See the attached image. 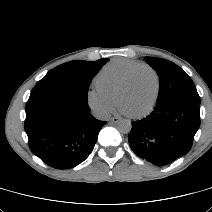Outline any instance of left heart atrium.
I'll list each match as a JSON object with an SVG mask.
<instances>
[{
    "label": "left heart atrium",
    "instance_id": "39dd6f15",
    "mask_svg": "<svg viewBox=\"0 0 212 212\" xmlns=\"http://www.w3.org/2000/svg\"><path fill=\"white\" fill-rule=\"evenodd\" d=\"M118 111H119L121 114H124V115H130V114H131V113L129 112V110H128L124 105L119 106Z\"/></svg>",
    "mask_w": 212,
    "mask_h": 212
}]
</instances>
